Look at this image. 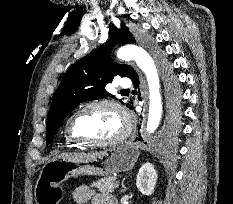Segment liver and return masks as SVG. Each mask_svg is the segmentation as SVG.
<instances>
[{"label": "liver", "mask_w": 233, "mask_h": 204, "mask_svg": "<svg viewBox=\"0 0 233 204\" xmlns=\"http://www.w3.org/2000/svg\"><path fill=\"white\" fill-rule=\"evenodd\" d=\"M73 155L72 153H64V154H61L59 155L58 157H66V156H71ZM58 157H55V158H58Z\"/></svg>", "instance_id": "liver-1"}]
</instances>
